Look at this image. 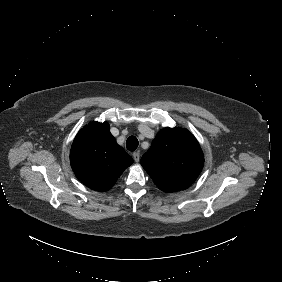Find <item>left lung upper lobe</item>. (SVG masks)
Here are the masks:
<instances>
[{"mask_svg": "<svg viewBox=\"0 0 282 282\" xmlns=\"http://www.w3.org/2000/svg\"><path fill=\"white\" fill-rule=\"evenodd\" d=\"M140 162L157 187L170 193L192 185L203 168L204 156L187 129L164 128Z\"/></svg>", "mask_w": 282, "mask_h": 282, "instance_id": "left-lung-upper-lobe-1", "label": "left lung upper lobe"}]
</instances>
